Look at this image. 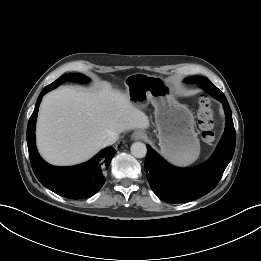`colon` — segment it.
<instances>
[{
  "label": "colon",
  "instance_id": "5ec220e1",
  "mask_svg": "<svg viewBox=\"0 0 261 261\" xmlns=\"http://www.w3.org/2000/svg\"><path fill=\"white\" fill-rule=\"evenodd\" d=\"M197 120L202 133L203 139L211 141L215 133V112L212 108L211 101L207 97H201L198 102Z\"/></svg>",
  "mask_w": 261,
  "mask_h": 261
}]
</instances>
